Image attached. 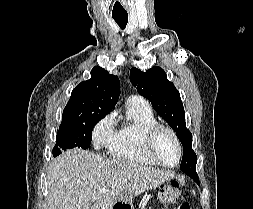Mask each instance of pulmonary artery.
Returning <instances> with one entry per match:
<instances>
[{
	"label": "pulmonary artery",
	"mask_w": 253,
	"mask_h": 209,
	"mask_svg": "<svg viewBox=\"0 0 253 209\" xmlns=\"http://www.w3.org/2000/svg\"><path fill=\"white\" fill-rule=\"evenodd\" d=\"M132 100H144V99L141 98L140 96L132 95L131 97H129L128 101H132Z\"/></svg>",
	"instance_id": "pulmonary-artery-1"
}]
</instances>
